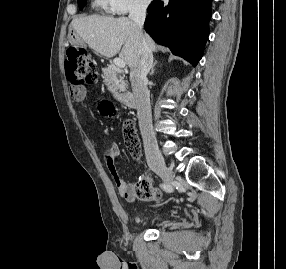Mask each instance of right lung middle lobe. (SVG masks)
Wrapping results in <instances>:
<instances>
[{"instance_id":"1","label":"right lung middle lobe","mask_w":286,"mask_h":269,"mask_svg":"<svg viewBox=\"0 0 286 269\" xmlns=\"http://www.w3.org/2000/svg\"><path fill=\"white\" fill-rule=\"evenodd\" d=\"M85 3H86V0H78L79 8L82 9Z\"/></svg>"}]
</instances>
